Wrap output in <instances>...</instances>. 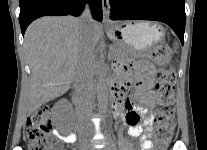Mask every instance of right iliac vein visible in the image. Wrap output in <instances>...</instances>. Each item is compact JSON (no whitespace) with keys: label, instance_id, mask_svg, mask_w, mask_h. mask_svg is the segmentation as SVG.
I'll return each mask as SVG.
<instances>
[{"label":"right iliac vein","instance_id":"63e3f726","mask_svg":"<svg viewBox=\"0 0 207 150\" xmlns=\"http://www.w3.org/2000/svg\"><path fill=\"white\" fill-rule=\"evenodd\" d=\"M81 150H88V148H87V146H86L85 144H83V145L81 146Z\"/></svg>","mask_w":207,"mask_h":150}]
</instances>
